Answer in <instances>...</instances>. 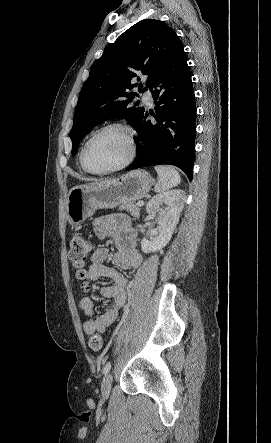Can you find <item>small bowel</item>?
Masks as SVG:
<instances>
[{
    "instance_id": "obj_1",
    "label": "small bowel",
    "mask_w": 271,
    "mask_h": 443,
    "mask_svg": "<svg viewBox=\"0 0 271 443\" xmlns=\"http://www.w3.org/2000/svg\"><path fill=\"white\" fill-rule=\"evenodd\" d=\"M94 231L98 238L114 241L116 253L113 262L117 267L124 270H136L140 267L142 257L135 246L136 233L126 216L109 215L97 218L94 221ZM108 256L109 251L106 247L96 249L87 268L88 281H97L101 278L113 281L112 285L99 289L100 294L110 302L96 319L92 318L94 313L92 299L84 297L79 301V309L86 317L83 329L88 335L105 332L115 322L126 303L130 279L118 269L105 265Z\"/></svg>"
}]
</instances>
